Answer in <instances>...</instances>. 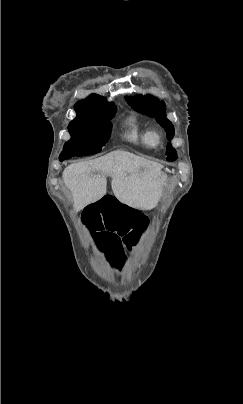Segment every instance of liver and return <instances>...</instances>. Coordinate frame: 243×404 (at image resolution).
<instances>
[{
  "mask_svg": "<svg viewBox=\"0 0 243 404\" xmlns=\"http://www.w3.org/2000/svg\"><path fill=\"white\" fill-rule=\"evenodd\" d=\"M162 168L152 160L116 150L95 160L70 164L63 172V182L72 192L76 212L105 196L106 176H111L112 190L119 202L152 210L162 194Z\"/></svg>",
  "mask_w": 243,
  "mask_h": 404,
  "instance_id": "1",
  "label": "liver"
}]
</instances>
